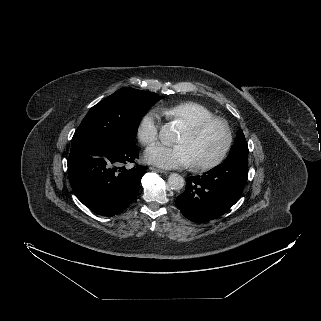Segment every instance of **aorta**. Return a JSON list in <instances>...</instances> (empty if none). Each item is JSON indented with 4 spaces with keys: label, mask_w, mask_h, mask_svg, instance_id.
I'll return each mask as SVG.
<instances>
[{
    "label": "aorta",
    "mask_w": 321,
    "mask_h": 321,
    "mask_svg": "<svg viewBox=\"0 0 321 321\" xmlns=\"http://www.w3.org/2000/svg\"><path fill=\"white\" fill-rule=\"evenodd\" d=\"M160 135L167 140H174L176 130L170 125H164L161 128ZM168 185L172 190H180L184 186V179L177 173H172L168 177Z\"/></svg>",
    "instance_id": "obj_1"
}]
</instances>
